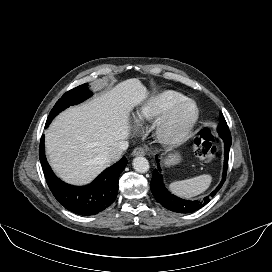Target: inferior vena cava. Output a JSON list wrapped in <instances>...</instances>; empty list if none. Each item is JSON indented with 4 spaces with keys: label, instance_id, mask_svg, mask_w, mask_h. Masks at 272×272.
<instances>
[{
    "label": "inferior vena cava",
    "instance_id": "602c4592",
    "mask_svg": "<svg viewBox=\"0 0 272 272\" xmlns=\"http://www.w3.org/2000/svg\"><path fill=\"white\" fill-rule=\"evenodd\" d=\"M129 144L127 141H120L116 143L113 147L108 148L102 154V160L107 163H112L118 161L123 151L128 148Z\"/></svg>",
    "mask_w": 272,
    "mask_h": 272
}]
</instances>
